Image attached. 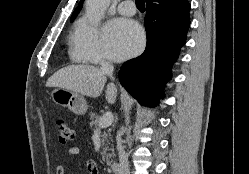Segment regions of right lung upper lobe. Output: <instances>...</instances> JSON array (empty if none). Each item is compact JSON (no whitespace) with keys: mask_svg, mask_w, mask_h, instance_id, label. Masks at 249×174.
I'll return each instance as SVG.
<instances>
[{"mask_svg":"<svg viewBox=\"0 0 249 174\" xmlns=\"http://www.w3.org/2000/svg\"><path fill=\"white\" fill-rule=\"evenodd\" d=\"M83 1L84 0H81L80 3H79V6L74 10V12H73V14L71 16V19H70L71 21H73L76 18L77 14L81 10ZM168 1H171V0H146V6L150 5V4L151 5H158V4L166 3Z\"/></svg>","mask_w":249,"mask_h":174,"instance_id":"obj_1","label":"right lung upper lobe"}]
</instances>
